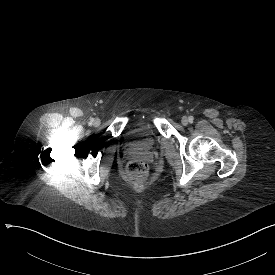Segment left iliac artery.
<instances>
[{
  "instance_id": "obj_1",
  "label": "left iliac artery",
  "mask_w": 275,
  "mask_h": 275,
  "mask_svg": "<svg viewBox=\"0 0 275 275\" xmlns=\"http://www.w3.org/2000/svg\"><path fill=\"white\" fill-rule=\"evenodd\" d=\"M188 119H189V122H191V123H192L193 120H194L193 116H189Z\"/></svg>"
}]
</instances>
